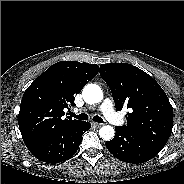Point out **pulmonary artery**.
<instances>
[{"mask_svg":"<svg viewBox=\"0 0 184 184\" xmlns=\"http://www.w3.org/2000/svg\"><path fill=\"white\" fill-rule=\"evenodd\" d=\"M99 110L103 113L105 118L115 125H121L123 123V120L119 115L115 112L113 103L109 98L104 99V101L101 103Z\"/></svg>","mask_w":184,"mask_h":184,"instance_id":"e3ab8cb5","label":"pulmonary artery"}]
</instances>
